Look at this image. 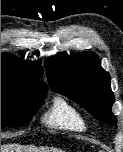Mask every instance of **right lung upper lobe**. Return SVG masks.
Masks as SVG:
<instances>
[{"instance_id": "cb5924a9", "label": "right lung upper lobe", "mask_w": 123, "mask_h": 152, "mask_svg": "<svg viewBox=\"0 0 123 152\" xmlns=\"http://www.w3.org/2000/svg\"><path fill=\"white\" fill-rule=\"evenodd\" d=\"M42 74L40 61L31 63L7 53L1 58V83L15 85L20 91L47 93L48 86L43 82Z\"/></svg>"}]
</instances>
